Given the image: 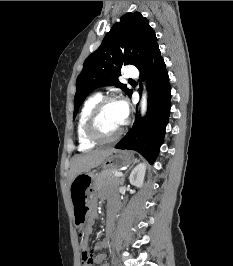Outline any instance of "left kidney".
Instances as JSON below:
<instances>
[{"label":"left kidney","mask_w":233,"mask_h":266,"mask_svg":"<svg viewBox=\"0 0 233 266\" xmlns=\"http://www.w3.org/2000/svg\"><path fill=\"white\" fill-rule=\"evenodd\" d=\"M146 165L144 163L138 164L130 174L129 181L136 187H141L144 182Z\"/></svg>","instance_id":"left-kidney-1"}]
</instances>
